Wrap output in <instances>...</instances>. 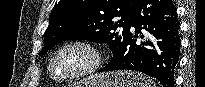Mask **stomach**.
Listing matches in <instances>:
<instances>
[{
  "label": "stomach",
  "mask_w": 205,
  "mask_h": 87,
  "mask_svg": "<svg viewBox=\"0 0 205 87\" xmlns=\"http://www.w3.org/2000/svg\"><path fill=\"white\" fill-rule=\"evenodd\" d=\"M149 79L134 71L104 72L69 87H151Z\"/></svg>",
  "instance_id": "0dacf381"
}]
</instances>
